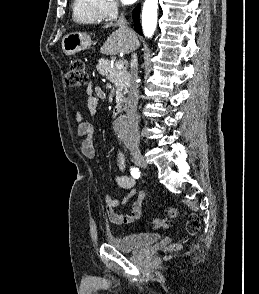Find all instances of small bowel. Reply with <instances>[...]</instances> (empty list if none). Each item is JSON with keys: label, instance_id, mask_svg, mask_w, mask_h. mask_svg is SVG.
<instances>
[{"label": "small bowel", "instance_id": "small-bowel-1", "mask_svg": "<svg viewBox=\"0 0 259 294\" xmlns=\"http://www.w3.org/2000/svg\"><path fill=\"white\" fill-rule=\"evenodd\" d=\"M87 109L90 114L95 115L98 109L99 102L105 98V92L100 87H87ZM76 124V133L82 136L81 152L82 154L92 159L95 157L96 149L93 139L94 126L87 122L84 118V113L77 110L74 115ZM117 165L121 170H124V164L120 156H117ZM115 181L123 189L131 190L127 195L121 199L113 198L110 195L104 197L105 211L110 222L116 225L131 224L138 220L142 214V206L145 199V192L142 190H132L136 184V180L128 175H117ZM134 197L131 204V211L129 213L117 212L116 208L122 204L127 203Z\"/></svg>", "mask_w": 259, "mask_h": 294}]
</instances>
